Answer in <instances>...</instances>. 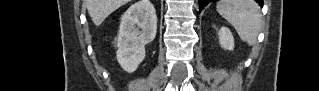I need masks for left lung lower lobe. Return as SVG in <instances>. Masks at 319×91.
Instances as JSON below:
<instances>
[{"label": "left lung lower lobe", "mask_w": 319, "mask_h": 91, "mask_svg": "<svg viewBox=\"0 0 319 91\" xmlns=\"http://www.w3.org/2000/svg\"><path fill=\"white\" fill-rule=\"evenodd\" d=\"M211 1L212 0H199V11H201ZM255 1L259 3L260 6L263 5V0H255Z\"/></svg>", "instance_id": "obj_1"}]
</instances>
